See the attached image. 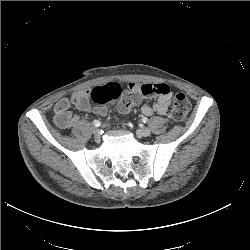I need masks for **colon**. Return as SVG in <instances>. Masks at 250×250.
Listing matches in <instances>:
<instances>
[{
    "label": "colon",
    "mask_w": 250,
    "mask_h": 250,
    "mask_svg": "<svg viewBox=\"0 0 250 250\" xmlns=\"http://www.w3.org/2000/svg\"><path fill=\"white\" fill-rule=\"evenodd\" d=\"M91 98L98 104H114L121 112H128L136 106L142 95L139 92L123 90L117 83H108L95 87L91 91ZM190 111V102L183 93H176L173 97L170 111L171 118L176 122H183Z\"/></svg>",
    "instance_id": "colon-1"
}]
</instances>
